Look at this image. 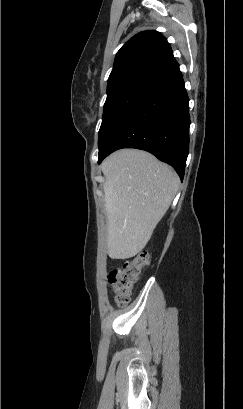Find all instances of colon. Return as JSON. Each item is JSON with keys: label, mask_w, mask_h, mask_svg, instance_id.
<instances>
[{"label": "colon", "mask_w": 243, "mask_h": 409, "mask_svg": "<svg viewBox=\"0 0 243 409\" xmlns=\"http://www.w3.org/2000/svg\"><path fill=\"white\" fill-rule=\"evenodd\" d=\"M149 265V253L147 250L127 260L122 267L113 269L109 274V283L114 293V300L118 306H124L129 302L132 290L137 283L141 271Z\"/></svg>", "instance_id": "5ec220e1"}]
</instances>
